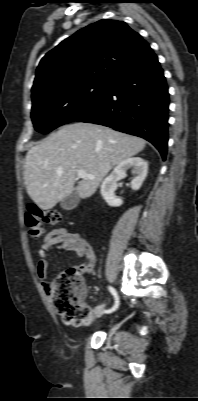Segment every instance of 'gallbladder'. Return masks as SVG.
<instances>
[{
    "label": "gallbladder",
    "mask_w": 198,
    "mask_h": 401,
    "mask_svg": "<svg viewBox=\"0 0 198 401\" xmlns=\"http://www.w3.org/2000/svg\"><path fill=\"white\" fill-rule=\"evenodd\" d=\"M79 198L80 197H79V194H78L77 190L74 189L69 196H67L66 198L61 200L60 206L64 210H72L78 205Z\"/></svg>",
    "instance_id": "obj_1"
}]
</instances>
